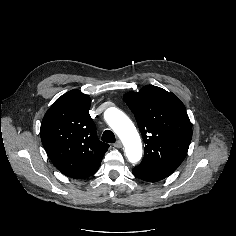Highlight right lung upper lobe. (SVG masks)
Here are the masks:
<instances>
[{
  "label": "right lung upper lobe",
  "mask_w": 236,
  "mask_h": 236,
  "mask_svg": "<svg viewBox=\"0 0 236 236\" xmlns=\"http://www.w3.org/2000/svg\"><path fill=\"white\" fill-rule=\"evenodd\" d=\"M90 98L80 90L59 97L46 112L40 129L45 151L64 175L83 179L95 174L109 145L96 135L88 113Z\"/></svg>",
  "instance_id": "1"
}]
</instances>
